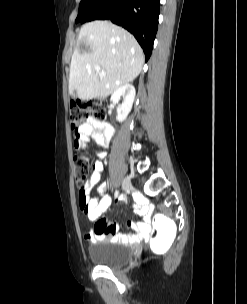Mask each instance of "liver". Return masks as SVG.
<instances>
[{"label":"liver","instance_id":"obj_1","mask_svg":"<svg viewBox=\"0 0 247 304\" xmlns=\"http://www.w3.org/2000/svg\"><path fill=\"white\" fill-rule=\"evenodd\" d=\"M143 64V51L132 34L108 21L89 22L81 28L72 55L69 93L83 101L107 97L132 82ZM95 66L106 76L100 77Z\"/></svg>","mask_w":247,"mask_h":304}]
</instances>
